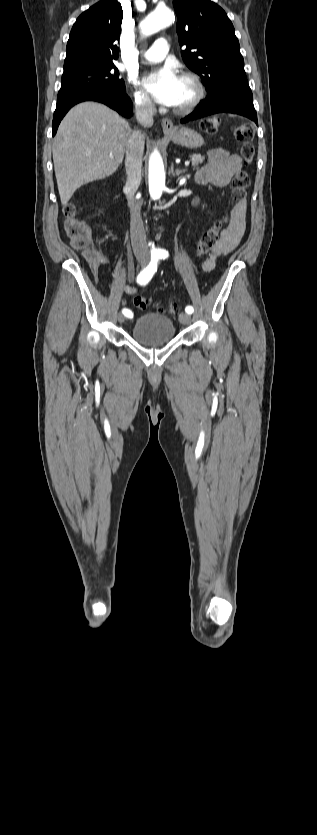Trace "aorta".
<instances>
[{"label":"aorta","mask_w":317,"mask_h":835,"mask_svg":"<svg viewBox=\"0 0 317 835\" xmlns=\"http://www.w3.org/2000/svg\"><path fill=\"white\" fill-rule=\"evenodd\" d=\"M174 19V13L170 8L158 7L141 20V34L145 37L153 35L161 28L170 25ZM148 179L151 197L159 199L165 188V170L157 149H154L149 158Z\"/></svg>","instance_id":"762f6f07"}]
</instances>
